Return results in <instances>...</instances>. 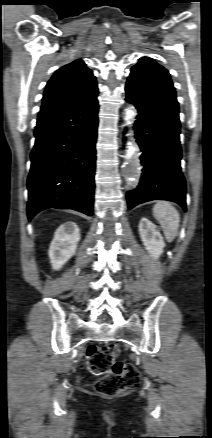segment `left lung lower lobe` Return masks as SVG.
Here are the masks:
<instances>
[{"label": "left lung lower lobe", "mask_w": 212, "mask_h": 438, "mask_svg": "<svg viewBox=\"0 0 212 438\" xmlns=\"http://www.w3.org/2000/svg\"><path fill=\"white\" fill-rule=\"evenodd\" d=\"M126 101L138 115L136 142L142 151V182L127 192L129 209L151 200H169L186 209V183L181 171L179 105L175 97L127 82Z\"/></svg>", "instance_id": "obj_1"}]
</instances>
